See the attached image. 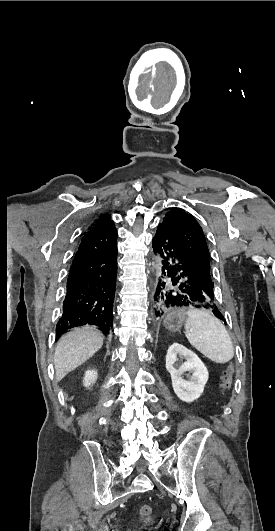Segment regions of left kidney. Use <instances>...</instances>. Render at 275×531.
<instances>
[{
	"instance_id": "5707ae66",
	"label": "left kidney",
	"mask_w": 275,
	"mask_h": 531,
	"mask_svg": "<svg viewBox=\"0 0 275 531\" xmlns=\"http://www.w3.org/2000/svg\"><path fill=\"white\" fill-rule=\"evenodd\" d=\"M177 355L186 359V363H183L181 367H175L176 361H178ZM166 369L171 375L173 391L181 401L192 403V401L199 399L208 381L209 373L195 353L183 345H179V343H173L167 351ZM186 371L192 373L189 381L182 377Z\"/></svg>"
}]
</instances>
